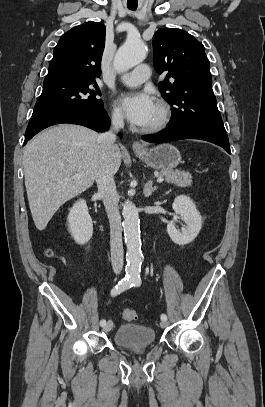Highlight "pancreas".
Listing matches in <instances>:
<instances>
[{
	"label": "pancreas",
	"instance_id": "obj_1",
	"mask_svg": "<svg viewBox=\"0 0 265 407\" xmlns=\"http://www.w3.org/2000/svg\"><path fill=\"white\" fill-rule=\"evenodd\" d=\"M160 176L165 177L167 183L179 187H188L192 185V175L189 172L169 170L160 172Z\"/></svg>",
	"mask_w": 265,
	"mask_h": 407
}]
</instances>
